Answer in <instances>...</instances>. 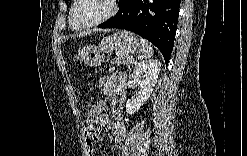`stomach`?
Returning a JSON list of instances; mask_svg holds the SVG:
<instances>
[{
	"instance_id": "1",
	"label": "stomach",
	"mask_w": 247,
	"mask_h": 156,
	"mask_svg": "<svg viewBox=\"0 0 247 156\" xmlns=\"http://www.w3.org/2000/svg\"><path fill=\"white\" fill-rule=\"evenodd\" d=\"M140 49L138 37L130 31L121 30L103 38L99 46L84 47L81 51V60L85 65L98 67L102 63L103 56L111 54L114 50L131 56L139 53Z\"/></svg>"
}]
</instances>
